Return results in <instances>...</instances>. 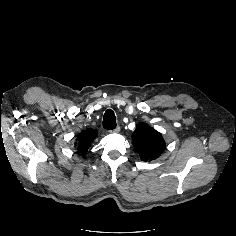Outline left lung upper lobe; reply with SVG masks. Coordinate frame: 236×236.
Instances as JSON below:
<instances>
[{
  "instance_id": "1",
  "label": "left lung upper lobe",
  "mask_w": 236,
  "mask_h": 236,
  "mask_svg": "<svg viewBox=\"0 0 236 236\" xmlns=\"http://www.w3.org/2000/svg\"><path fill=\"white\" fill-rule=\"evenodd\" d=\"M132 144L143 161L158 158L165 150L162 135L145 123H140L132 134Z\"/></svg>"
}]
</instances>
